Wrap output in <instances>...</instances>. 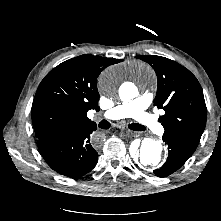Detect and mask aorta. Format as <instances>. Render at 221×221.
<instances>
[{
  "label": "aorta",
  "mask_w": 221,
  "mask_h": 221,
  "mask_svg": "<svg viewBox=\"0 0 221 221\" xmlns=\"http://www.w3.org/2000/svg\"><path fill=\"white\" fill-rule=\"evenodd\" d=\"M119 70L107 71L100 79V88L103 93L113 95L115 92L116 77ZM138 91L135 87L129 90H119V96L122 101H129L137 97ZM133 158L137 160L140 166L145 168H154L162 163L163 145L161 142L153 139H145L141 142L139 149L133 151Z\"/></svg>",
  "instance_id": "obj_1"
}]
</instances>
